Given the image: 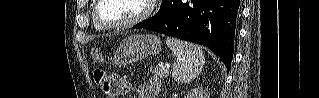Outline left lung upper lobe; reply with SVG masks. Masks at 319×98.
<instances>
[{"mask_svg":"<svg viewBox=\"0 0 319 98\" xmlns=\"http://www.w3.org/2000/svg\"><path fill=\"white\" fill-rule=\"evenodd\" d=\"M164 1H165V0H162V5H161V7H160V10L158 11V13H157L155 16H153L152 18H150V19H148V20H146V21H144V22H141V23H143V24L146 25V24H150V23H152V22L158 20V19L161 17L162 12H163V3H164Z\"/></svg>","mask_w":319,"mask_h":98,"instance_id":"1","label":"left lung upper lobe"}]
</instances>
